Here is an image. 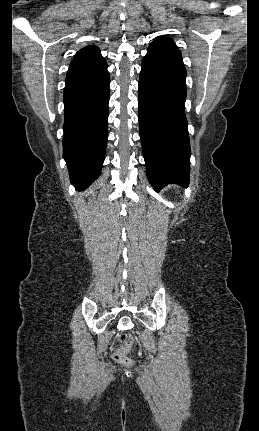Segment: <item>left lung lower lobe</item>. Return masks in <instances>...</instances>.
I'll return each instance as SVG.
<instances>
[{
    "instance_id": "obj_1",
    "label": "left lung lower lobe",
    "mask_w": 259,
    "mask_h": 431,
    "mask_svg": "<svg viewBox=\"0 0 259 431\" xmlns=\"http://www.w3.org/2000/svg\"><path fill=\"white\" fill-rule=\"evenodd\" d=\"M185 78L178 47L155 39L142 61L138 92L140 138L155 191L169 183L189 184Z\"/></svg>"
}]
</instances>
